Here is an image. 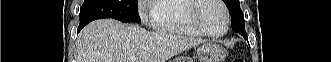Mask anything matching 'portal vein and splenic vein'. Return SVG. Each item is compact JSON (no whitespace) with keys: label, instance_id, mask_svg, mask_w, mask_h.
Returning a JSON list of instances; mask_svg holds the SVG:
<instances>
[{"label":"portal vein and splenic vein","instance_id":"1","mask_svg":"<svg viewBox=\"0 0 331 62\" xmlns=\"http://www.w3.org/2000/svg\"><path fill=\"white\" fill-rule=\"evenodd\" d=\"M131 59H132V60H134V59H135V57H131Z\"/></svg>","mask_w":331,"mask_h":62}]
</instances>
